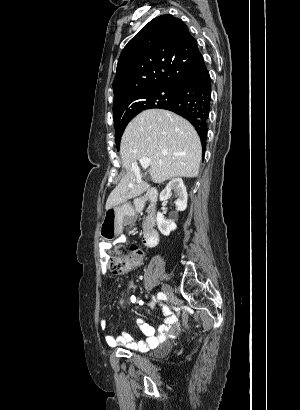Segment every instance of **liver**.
<instances>
[{"label": "liver", "mask_w": 300, "mask_h": 410, "mask_svg": "<svg viewBox=\"0 0 300 410\" xmlns=\"http://www.w3.org/2000/svg\"><path fill=\"white\" fill-rule=\"evenodd\" d=\"M120 155L125 176L110 193L106 210L125 203L149 189L150 185L134 172L133 163L147 157L154 183L175 177L198 175L202 147L194 127L183 117L163 109L138 114L121 138Z\"/></svg>", "instance_id": "liver-1"}]
</instances>
